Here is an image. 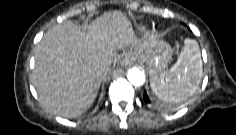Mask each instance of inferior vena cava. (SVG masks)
<instances>
[{"label":"inferior vena cava","mask_w":236,"mask_h":135,"mask_svg":"<svg viewBox=\"0 0 236 135\" xmlns=\"http://www.w3.org/2000/svg\"><path fill=\"white\" fill-rule=\"evenodd\" d=\"M111 63H112L111 61L107 63V66H108L109 68H110V66H111Z\"/></svg>","instance_id":"obj_1"}]
</instances>
